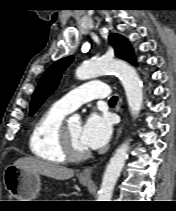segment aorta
Here are the masks:
<instances>
[{
    "label": "aorta",
    "instance_id": "obj_1",
    "mask_svg": "<svg viewBox=\"0 0 176 211\" xmlns=\"http://www.w3.org/2000/svg\"><path fill=\"white\" fill-rule=\"evenodd\" d=\"M115 72L120 76L128 106L133 117L140 113L143 103V85L136 70L129 64L110 59L91 60L82 63L76 69L79 80H87L105 73ZM129 142L121 144L111 157L99 190L98 201H111L115 184L128 157Z\"/></svg>",
    "mask_w": 176,
    "mask_h": 211
}]
</instances>
